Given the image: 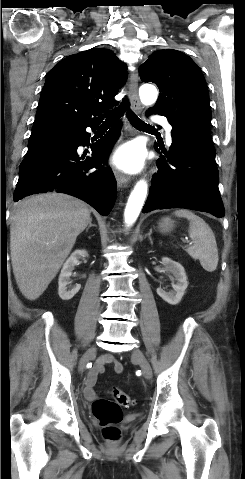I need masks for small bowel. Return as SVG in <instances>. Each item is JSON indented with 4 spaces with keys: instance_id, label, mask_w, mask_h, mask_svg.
Returning <instances> with one entry per match:
<instances>
[{
    "instance_id": "1",
    "label": "small bowel",
    "mask_w": 245,
    "mask_h": 479,
    "mask_svg": "<svg viewBox=\"0 0 245 479\" xmlns=\"http://www.w3.org/2000/svg\"><path fill=\"white\" fill-rule=\"evenodd\" d=\"M106 364H111L113 369L116 373L120 374L123 371V366L117 362L113 356L111 355H103L100 360L92 367L89 371L86 382L84 393L88 399H94L96 397V393L94 391V386L96 384V380L99 374L104 371V366Z\"/></svg>"
}]
</instances>
